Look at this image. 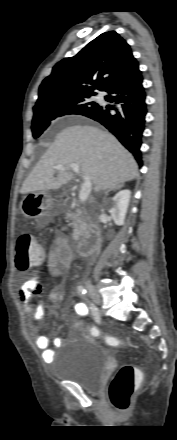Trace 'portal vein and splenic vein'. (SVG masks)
Masks as SVG:
<instances>
[{
    "instance_id": "obj_1",
    "label": "portal vein and splenic vein",
    "mask_w": 177,
    "mask_h": 440,
    "mask_svg": "<svg viewBox=\"0 0 177 440\" xmlns=\"http://www.w3.org/2000/svg\"><path fill=\"white\" fill-rule=\"evenodd\" d=\"M56 170H63V164H58L56 167ZM71 169L76 173V174H80V168L79 165L76 163L71 164ZM84 183L81 187V190L79 192V200L81 202H84L87 200V198L89 197L90 193H91V189H92V183H91V178L89 176H84Z\"/></svg>"
}]
</instances>
